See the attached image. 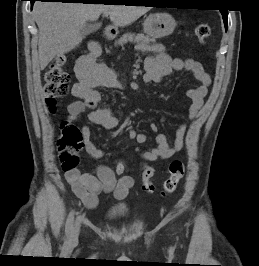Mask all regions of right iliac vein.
Masks as SVG:
<instances>
[{"label":"right iliac vein","instance_id":"right-iliac-vein-1","mask_svg":"<svg viewBox=\"0 0 259 266\" xmlns=\"http://www.w3.org/2000/svg\"><path fill=\"white\" fill-rule=\"evenodd\" d=\"M79 231H80V220H77L75 222V225H74V228H73L72 234H71V241L72 242H74L78 239Z\"/></svg>","mask_w":259,"mask_h":266}]
</instances>
